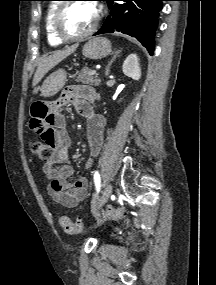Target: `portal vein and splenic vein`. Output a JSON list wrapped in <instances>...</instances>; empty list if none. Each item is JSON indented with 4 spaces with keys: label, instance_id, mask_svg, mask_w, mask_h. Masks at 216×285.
<instances>
[{
    "label": "portal vein and splenic vein",
    "instance_id": "portal-vein-and-splenic-vein-1",
    "mask_svg": "<svg viewBox=\"0 0 216 285\" xmlns=\"http://www.w3.org/2000/svg\"><path fill=\"white\" fill-rule=\"evenodd\" d=\"M97 72H96V70H91L90 72H89V75H95Z\"/></svg>",
    "mask_w": 216,
    "mask_h": 285
}]
</instances>
